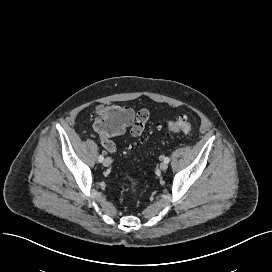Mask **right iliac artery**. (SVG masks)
<instances>
[{"mask_svg": "<svg viewBox=\"0 0 272 272\" xmlns=\"http://www.w3.org/2000/svg\"><path fill=\"white\" fill-rule=\"evenodd\" d=\"M103 160H104L103 155H100V156L98 157V161L101 163V162H103Z\"/></svg>", "mask_w": 272, "mask_h": 272, "instance_id": "obj_1", "label": "right iliac artery"}]
</instances>
